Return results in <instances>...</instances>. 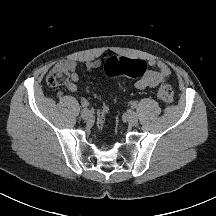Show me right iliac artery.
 Wrapping results in <instances>:
<instances>
[{
  "instance_id": "82829eb1",
  "label": "right iliac artery",
  "mask_w": 216,
  "mask_h": 216,
  "mask_svg": "<svg viewBox=\"0 0 216 216\" xmlns=\"http://www.w3.org/2000/svg\"><path fill=\"white\" fill-rule=\"evenodd\" d=\"M81 105H82V107L86 108V107L89 106V102L85 100V101L82 102Z\"/></svg>"
}]
</instances>
